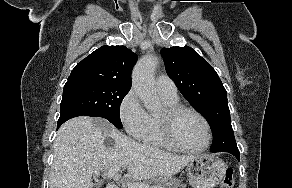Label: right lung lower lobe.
I'll list each match as a JSON object with an SVG mask.
<instances>
[{
  "label": "right lung lower lobe",
  "mask_w": 292,
  "mask_h": 188,
  "mask_svg": "<svg viewBox=\"0 0 292 188\" xmlns=\"http://www.w3.org/2000/svg\"><path fill=\"white\" fill-rule=\"evenodd\" d=\"M77 116H81V115L77 114V113H68V114L61 115L59 120H58L57 128H59L61 126V124H63L65 121H67L73 117H77Z\"/></svg>",
  "instance_id": "98d812e1"
}]
</instances>
